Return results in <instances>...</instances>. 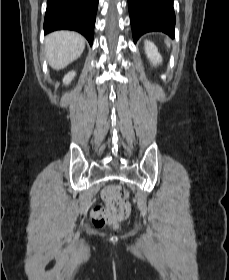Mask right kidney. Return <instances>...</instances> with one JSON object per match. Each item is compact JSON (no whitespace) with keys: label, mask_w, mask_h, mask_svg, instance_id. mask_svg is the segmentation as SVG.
I'll use <instances>...</instances> for the list:
<instances>
[{"label":"right kidney","mask_w":229,"mask_h":280,"mask_svg":"<svg viewBox=\"0 0 229 280\" xmlns=\"http://www.w3.org/2000/svg\"><path fill=\"white\" fill-rule=\"evenodd\" d=\"M75 74H76L75 71H70L69 73H67L63 78V83L66 85L69 84L72 81V79L75 77Z\"/></svg>","instance_id":"right-kidney-1"}]
</instances>
